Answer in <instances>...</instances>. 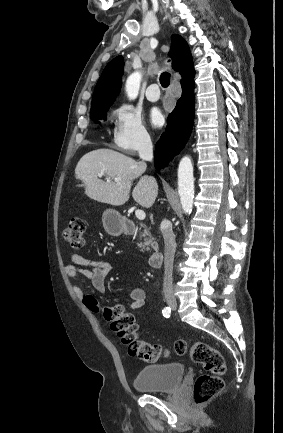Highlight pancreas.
Instances as JSON below:
<instances>
[{
  "label": "pancreas",
  "instance_id": "pancreas-1",
  "mask_svg": "<svg viewBox=\"0 0 283 433\" xmlns=\"http://www.w3.org/2000/svg\"><path fill=\"white\" fill-rule=\"evenodd\" d=\"M140 237H150L148 243H145V245H151V243H153V239L149 233V229H144V233H142ZM145 245H142V243H138V247H145ZM146 251H149V249H146Z\"/></svg>",
  "mask_w": 283,
  "mask_h": 433
}]
</instances>
